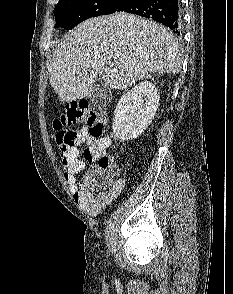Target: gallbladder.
Segmentation results:
<instances>
[{
	"instance_id": "obj_1",
	"label": "gallbladder",
	"mask_w": 233,
	"mask_h": 294,
	"mask_svg": "<svg viewBox=\"0 0 233 294\" xmlns=\"http://www.w3.org/2000/svg\"><path fill=\"white\" fill-rule=\"evenodd\" d=\"M91 103L95 106H104L111 99L110 88L102 81L93 85V89L89 95Z\"/></svg>"
}]
</instances>
